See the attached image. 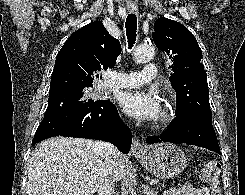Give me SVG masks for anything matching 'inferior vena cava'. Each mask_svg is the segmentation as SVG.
<instances>
[{
    "label": "inferior vena cava",
    "mask_w": 245,
    "mask_h": 195,
    "mask_svg": "<svg viewBox=\"0 0 245 195\" xmlns=\"http://www.w3.org/2000/svg\"><path fill=\"white\" fill-rule=\"evenodd\" d=\"M102 146L104 148V163L99 177L98 195H114V157L117 149L110 143L102 142Z\"/></svg>",
    "instance_id": "602c4592"
}]
</instances>
